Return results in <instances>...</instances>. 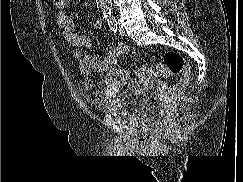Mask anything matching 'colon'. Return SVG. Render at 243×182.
<instances>
[{
  "instance_id": "obj_1",
  "label": "colon",
  "mask_w": 243,
  "mask_h": 182,
  "mask_svg": "<svg viewBox=\"0 0 243 182\" xmlns=\"http://www.w3.org/2000/svg\"><path fill=\"white\" fill-rule=\"evenodd\" d=\"M53 3L56 7L64 9L69 7L71 0H53ZM136 75L143 81L169 76H181L178 82L170 86L167 90L160 92L158 95V112L161 117L168 113L173 102L181 96L189 84V74L186 70L185 61L175 51L165 52L162 62L154 67H140L137 69Z\"/></svg>"
}]
</instances>
